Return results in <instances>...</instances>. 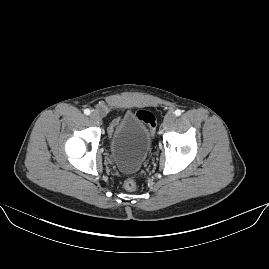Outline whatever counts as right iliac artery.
Listing matches in <instances>:
<instances>
[{
    "mask_svg": "<svg viewBox=\"0 0 269 269\" xmlns=\"http://www.w3.org/2000/svg\"><path fill=\"white\" fill-rule=\"evenodd\" d=\"M84 113H85L86 115H89V114H90V110H89V109H85V110H84Z\"/></svg>",
    "mask_w": 269,
    "mask_h": 269,
    "instance_id": "obj_1",
    "label": "right iliac artery"
}]
</instances>
